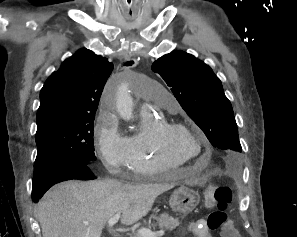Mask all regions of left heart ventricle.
Returning a JSON list of instances; mask_svg holds the SVG:
<instances>
[{
    "label": "left heart ventricle",
    "instance_id": "b2bd125f",
    "mask_svg": "<svg viewBox=\"0 0 297 237\" xmlns=\"http://www.w3.org/2000/svg\"><path fill=\"white\" fill-rule=\"evenodd\" d=\"M169 146L182 156L194 157L199 152L196 140L184 131H174L167 136Z\"/></svg>",
    "mask_w": 297,
    "mask_h": 237
}]
</instances>
